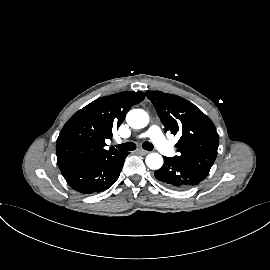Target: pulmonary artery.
I'll list each match as a JSON object with an SVG mask.
<instances>
[{"mask_svg": "<svg viewBox=\"0 0 270 270\" xmlns=\"http://www.w3.org/2000/svg\"><path fill=\"white\" fill-rule=\"evenodd\" d=\"M145 137L150 138L158 150L164 155L172 156L174 154L173 146L165 139L158 126H151L145 133L139 136V138Z\"/></svg>", "mask_w": 270, "mask_h": 270, "instance_id": "e3ab8cb5", "label": "pulmonary artery"}]
</instances>
